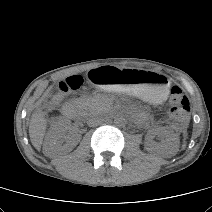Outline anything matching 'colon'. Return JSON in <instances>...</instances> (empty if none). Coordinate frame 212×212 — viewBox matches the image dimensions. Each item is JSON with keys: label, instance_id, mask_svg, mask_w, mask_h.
<instances>
[{"label": "colon", "instance_id": "5ec220e1", "mask_svg": "<svg viewBox=\"0 0 212 212\" xmlns=\"http://www.w3.org/2000/svg\"><path fill=\"white\" fill-rule=\"evenodd\" d=\"M92 82V81H91ZM94 83V82H93ZM84 84L82 75H74L68 77L59 84V93L67 94L79 90ZM190 101L184 91L179 86L171 89L170 95V114L179 123L183 124L187 121L190 113Z\"/></svg>", "mask_w": 212, "mask_h": 212}]
</instances>
